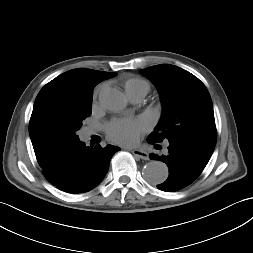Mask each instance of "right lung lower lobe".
Masks as SVG:
<instances>
[{
	"mask_svg": "<svg viewBox=\"0 0 253 253\" xmlns=\"http://www.w3.org/2000/svg\"><path fill=\"white\" fill-rule=\"evenodd\" d=\"M119 150L112 145L86 147L85 143L78 141L43 173L51 184L62 191L73 194L88 192L103 180L114 152Z\"/></svg>",
	"mask_w": 253,
	"mask_h": 253,
	"instance_id": "right-lung-lower-lobe-1",
	"label": "right lung lower lobe"
}]
</instances>
